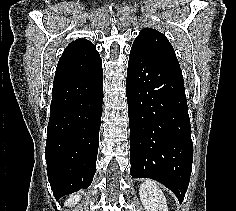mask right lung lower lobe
I'll return each mask as SVG.
<instances>
[{
	"label": "right lung lower lobe",
	"mask_w": 236,
	"mask_h": 211,
	"mask_svg": "<svg viewBox=\"0 0 236 211\" xmlns=\"http://www.w3.org/2000/svg\"><path fill=\"white\" fill-rule=\"evenodd\" d=\"M103 101L102 68L53 84L45 158L56 199L87 188L96 172Z\"/></svg>",
	"instance_id": "obj_1"
}]
</instances>
